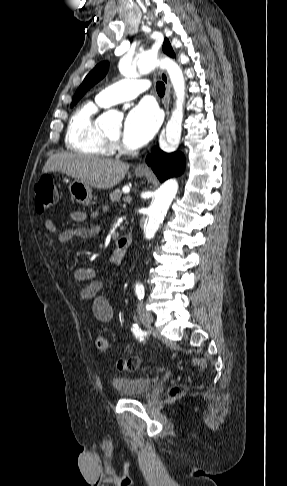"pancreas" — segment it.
Wrapping results in <instances>:
<instances>
[{
  "mask_svg": "<svg viewBox=\"0 0 287 486\" xmlns=\"http://www.w3.org/2000/svg\"><path fill=\"white\" fill-rule=\"evenodd\" d=\"M121 196H122L121 190L117 189V190L113 191L112 193H110V200L112 202H119L120 199H121Z\"/></svg>",
  "mask_w": 287,
  "mask_h": 486,
  "instance_id": "pancreas-1",
  "label": "pancreas"
}]
</instances>
